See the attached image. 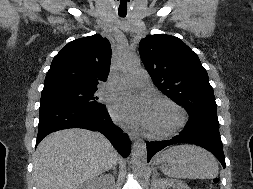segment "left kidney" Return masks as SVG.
I'll use <instances>...</instances> for the list:
<instances>
[{
  "label": "left kidney",
  "mask_w": 253,
  "mask_h": 189,
  "mask_svg": "<svg viewBox=\"0 0 253 189\" xmlns=\"http://www.w3.org/2000/svg\"><path fill=\"white\" fill-rule=\"evenodd\" d=\"M190 189L186 183L179 180L159 179L155 181L151 189Z\"/></svg>",
  "instance_id": "5707ae66"
}]
</instances>
